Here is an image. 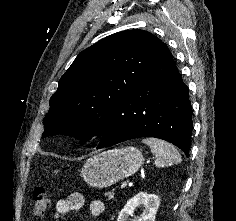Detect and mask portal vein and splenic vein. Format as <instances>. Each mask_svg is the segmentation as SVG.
<instances>
[{
	"label": "portal vein and splenic vein",
	"instance_id": "1",
	"mask_svg": "<svg viewBox=\"0 0 236 221\" xmlns=\"http://www.w3.org/2000/svg\"><path fill=\"white\" fill-rule=\"evenodd\" d=\"M127 184H128L127 181L122 182L120 188H121V189L126 188V187H127Z\"/></svg>",
	"mask_w": 236,
	"mask_h": 221
}]
</instances>
